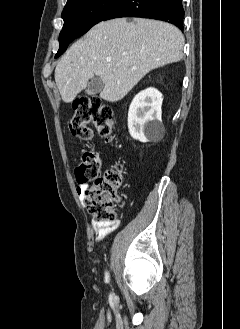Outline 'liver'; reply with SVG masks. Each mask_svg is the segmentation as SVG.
Instances as JSON below:
<instances>
[{"label":"liver","mask_w":240,"mask_h":329,"mask_svg":"<svg viewBox=\"0 0 240 329\" xmlns=\"http://www.w3.org/2000/svg\"><path fill=\"white\" fill-rule=\"evenodd\" d=\"M184 42L178 28L162 21L100 22L57 64L55 81L61 98L72 102L90 79L99 76L104 83L100 97L119 101L151 70L180 61Z\"/></svg>","instance_id":"liver-1"}]
</instances>
